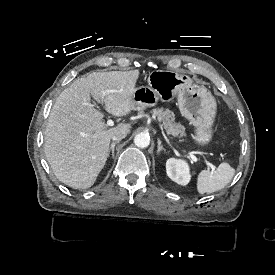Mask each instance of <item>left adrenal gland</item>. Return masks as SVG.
Here are the masks:
<instances>
[{
    "label": "left adrenal gland",
    "mask_w": 275,
    "mask_h": 275,
    "mask_svg": "<svg viewBox=\"0 0 275 275\" xmlns=\"http://www.w3.org/2000/svg\"><path fill=\"white\" fill-rule=\"evenodd\" d=\"M161 151H164V152H165V150H164L163 147L161 146V141L158 139V150H157V155H159Z\"/></svg>",
    "instance_id": "left-adrenal-gland-1"
}]
</instances>
